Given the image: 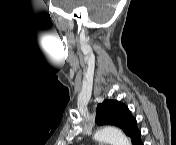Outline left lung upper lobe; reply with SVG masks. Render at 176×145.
<instances>
[{"label": "left lung upper lobe", "instance_id": "5c2ea615", "mask_svg": "<svg viewBox=\"0 0 176 145\" xmlns=\"http://www.w3.org/2000/svg\"><path fill=\"white\" fill-rule=\"evenodd\" d=\"M96 123L121 128L131 138L132 142L140 134L136 119L131 115L129 109L117 100H105L103 103L98 104Z\"/></svg>", "mask_w": 176, "mask_h": 145}]
</instances>
